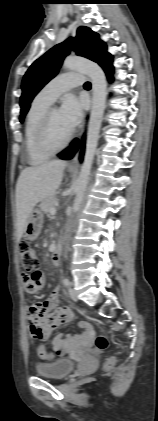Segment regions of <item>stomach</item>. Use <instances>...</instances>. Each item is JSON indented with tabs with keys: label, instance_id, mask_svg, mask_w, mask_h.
I'll return each mask as SVG.
<instances>
[{
	"label": "stomach",
	"instance_id": "1",
	"mask_svg": "<svg viewBox=\"0 0 158 421\" xmlns=\"http://www.w3.org/2000/svg\"><path fill=\"white\" fill-rule=\"evenodd\" d=\"M70 171H72L70 169ZM43 225V213L40 209L35 208L29 214L25 226V237L29 241H34L40 234Z\"/></svg>",
	"mask_w": 158,
	"mask_h": 421
}]
</instances>
